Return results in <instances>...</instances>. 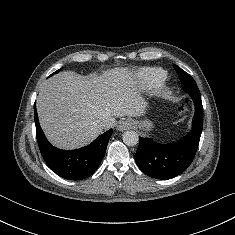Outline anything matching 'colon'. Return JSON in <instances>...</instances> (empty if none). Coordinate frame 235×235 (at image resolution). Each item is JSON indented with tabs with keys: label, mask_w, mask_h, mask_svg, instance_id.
<instances>
[{
	"label": "colon",
	"mask_w": 235,
	"mask_h": 235,
	"mask_svg": "<svg viewBox=\"0 0 235 235\" xmlns=\"http://www.w3.org/2000/svg\"><path fill=\"white\" fill-rule=\"evenodd\" d=\"M184 110V108H181V111H183Z\"/></svg>",
	"instance_id": "5ec220e1"
}]
</instances>
